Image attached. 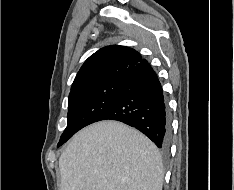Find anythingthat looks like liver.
<instances>
[{
	"instance_id": "6515ba94",
	"label": "liver",
	"mask_w": 234,
	"mask_h": 190,
	"mask_svg": "<svg viewBox=\"0 0 234 190\" xmlns=\"http://www.w3.org/2000/svg\"><path fill=\"white\" fill-rule=\"evenodd\" d=\"M60 190H162L164 170L155 144L118 121L79 131L59 158Z\"/></svg>"
}]
</instances>
